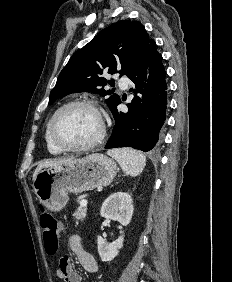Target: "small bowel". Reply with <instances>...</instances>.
<instances>
[{"label": "small bowel", "mask_w": 232, "mask_h": 282, "mask_svg": "<svg viewBox=\"0 0 232 282\" xmlns=\"http://www.w3.org/2000/svg\"><path fill=\"white\" fill-rule=\"evenodd\" d=\"M71 252L75 255L82 268L89 273L98 271V264L92 254L84 250L82 239L76 233H69L66 237ZM57 276L64 282H81L80 275L73 269L68 256L59 260ZM96 282H104L102 280Z\"/></svg>", "instance_id": "obj_1"}]
</instances>
